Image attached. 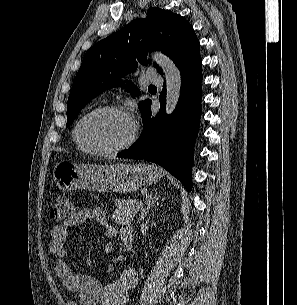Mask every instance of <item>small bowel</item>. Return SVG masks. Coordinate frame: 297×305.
Returning <instances> with one entry per match:
<instances>
[{"instance_id": "obj_1", "label": "small bowel", "mask_w": 297, "mask_h": 305, "mask_svg": "<svg viewBox=\"0 0 297 305\" xmlns=\"http://www.w3.org/2000/svg\"><path fill=\"white\" fill-rule=\"evenodd\" d=\"M87 221L106 226L108 236L117 233L116 228L108 223L106 211L99 207L81 209L71 219L53 226L50 230L49 251L55 256V273L62 280L64 288L76 295L68 305H126L130 291L138 282V274L134 268L124 269L116 281L103 286L95 277L77 273L67 259L65 241L68 229ZM125 230L130 228H124L121 236ZM113 249L112 243H107L103 247L106 254H111Z\"/></svg>"}]
</instances>
